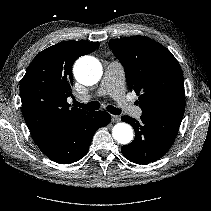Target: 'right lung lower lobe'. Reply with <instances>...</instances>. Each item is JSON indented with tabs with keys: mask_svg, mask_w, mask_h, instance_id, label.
<instances>
[{
	"mask_svg": "<svg viewBox=\"0 0 211 211\" xmlns=\"http://www.w3.org/2000/svg\"><path fill=\"white\" fill-rule=\"evenodd\" d=\"M110 121L111 116L105 111L87 112L79 116L53 145L42 152L57 163L76 162L87 153L96 130Z\"/></svg>",
	"mask_w": 211,
	"mask_h": 211,
	"instance_id": "obj_1",
	"label": "right lung lower lobe"
}]
</instances>
